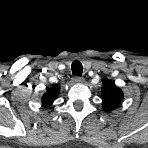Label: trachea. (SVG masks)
<instances>
[{"instance_id": "obj_1", "label": "trachea", "mask_w": 148, "mask_h": 148, "mask_svg": "<svg viewBox=\"0 0 148 148\" xmlns=\"http://www.w3.org/2000/svg\"><path fill=\"white\" fill-rule=\"evenodd\" d=\"M72 74L81 77L83 67L80 61H74L71 65Z\"/></svg>"}]
</instances>
